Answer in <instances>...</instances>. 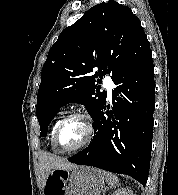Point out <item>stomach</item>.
Returning <instances> with one entry per match:
<instances>
[{
  "label": "stomach",
  "mask_w": 178,
  "mask_h": 195,
  "mask_svg": "<svg viewBox=\"0 0 178 195\" xmlns=\"http://www.w3.org/2000/svg\"><path fill=\"white\" fill-rule=\"evenodd\" d=\"M47 179L56 182V195H100L105 191L104 172L90 166L53 169Z\"/></svg>",
  "instance_id": "0dacf381"
}]
</instances>
